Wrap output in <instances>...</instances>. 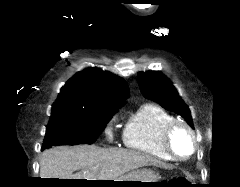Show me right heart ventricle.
<instances>
[{
  "label": "right heart ventricle",
  "mask_w": 240,
  "mask_h": 187,
  "mask_svg": "<svg viewBox=\"0 0 240 187\" xmlns=\"http://www.w3.org/2000/svg\"><path fill=\"white\" fill-rule=\"evenodd\" d=\"M173 120L175 118L160 106L145 104L126 123L122 134L123 144L146 155L172 161L174 158L163 145V132Z\"/></svg>",
  "instance_id": "1"
}]
</instances>
